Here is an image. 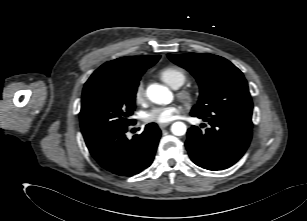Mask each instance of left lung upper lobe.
<instances>
[{"mask_svg":"<svg viewBox=\"0 0 307 221\" xmlns=\"http://www.w3.org/2000/svg\"><path fill=\"white\" fill-rule=\"evenodd\" d=\"M168 58L188 70L199 83V101L192 114L205 117L224 110L252 112L247 81L227 59L208 53L168 54Z\"/></svg>","mask_w":307,"mask_h":221,"instance_id":"5c2ea615","label":"left lung upper lobe"}]
</instances>
